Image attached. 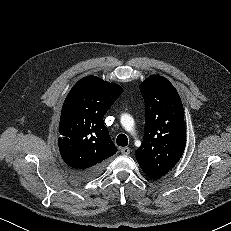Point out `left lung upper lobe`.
Masks as SVG:
<instances>
[{"label":"left lung upper lobe","mask_w":231,"mask_h":231,"mask_svg":"<svg viewBox=\"0 0 231 231\" xmlns=\"http://www.w3.org/2000/svg\"><path fill=\"white\" fill-rule=\"evenodd\" d=\"M140 90L146 117L136 159L142 170L162 177L176 165L185 149L183 105L175 87L160 75L149 76Z\"/></svg>","instance_id":"left-lung-upper-lobe-1"}]
</instances>
